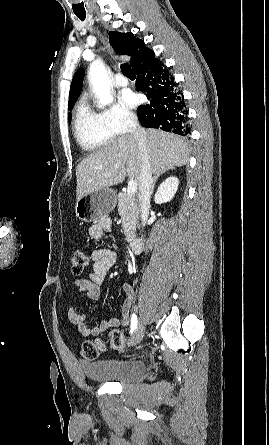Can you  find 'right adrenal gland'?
Here are the masks:
<instances>
[{
	"mask_svg": "<svg viewBox=\"0 0 269 445\" xmlns=\"http://www.w3.org/2000/svg\"><path fill=\"white\" fill-rule=\"evenodd\" d=\"M169 170H173V168H171V169H169ZM165 172H167V171H164V172H162V173L157 174L156 176H154V178H153V182H152V186H151V195H152L153 192H154V187H155V184H156L157 179H158L160 176H162V174H164Z\"/></svg>",
	"mask_w": 269,
	"mask_h": 445,
	"instance_id": "right-adrenal-gland-1",
	"label": "right adrenal gland"
}]
</instances>
